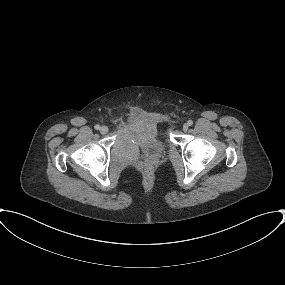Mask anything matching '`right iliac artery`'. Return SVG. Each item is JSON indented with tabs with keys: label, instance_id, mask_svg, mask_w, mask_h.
I'll use <instances>...</instances> for the list:
<instances>
[{
	"label": "right iliac artery",
	"instance_id": "right-iliac-artery-1",
	"mask_svg": "<svg viewBox=\"0 0 285 285\" xmlns=\"http://www.w3.org/2000/svg\"><path fill=\"white\" fill-rule=\"evenodd\" d=\"M96 130H99L100 129V125H95V127H94Z\"/></svg>",
	"mask_w": 285,
	"mask_h": 285
}]
</instances>
